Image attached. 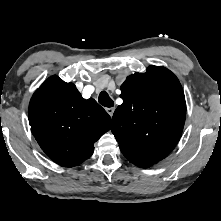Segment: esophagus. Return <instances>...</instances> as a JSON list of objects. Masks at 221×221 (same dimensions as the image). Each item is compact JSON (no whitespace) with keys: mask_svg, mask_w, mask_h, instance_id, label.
Returning a JSON list of instances; mask_svg holds the SVG:
<instances>
[{"mask_svg":"<svg viewBox=\"0 0 221 221\" xmlns=\"http://www.w3.org/2000/svg\"><path fill=\"white\" fill-rule=\"evenodd\" d=\"M107 113L112 117L115 111L114 107L106 108Z\"/></svg>","mask_w":221,"mask_h":221,"instance_id":"34e87169","label":"esophagus"}]
</instances>
